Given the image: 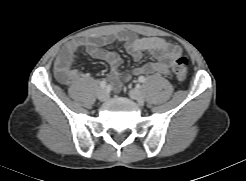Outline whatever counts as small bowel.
Returning <instances> with one entry per match:
<instances>
[{"instance_id":"obj_1","label":"small bowel","mask_w":246,"mask_h":181,"mask_svg":"<svg viewBox=\"0 0 246 181\" xmlns=\"http://www.w3.org/2000/svg\"><path fill=\"white\" fill-rule=\"evenodd\" d=\"M117 42L125 43L127 51L136 61L140 60L146 52L155 59L136 66L132 71L133 75H168L172 61L182 55V49L179 46L165 39L137 38L129 32L106 36L77 37L69 41L58 54L54 64L56 75L63 81L69 76H72V80L76 79L79 74L76 69L72 68V63L77 51L83 48L90 57L103 60L110 65L109 79L113 87L119 89L122 83L130 78V74L119 71L122 58L118 52L106 49Z\"/></svg>"}]
</instances>
